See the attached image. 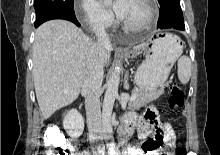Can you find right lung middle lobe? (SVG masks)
<instances>
[{
    "mask_svg": "<svg viewBox=\"0 0 220 155\" xmlns=\"http://www.w3.org/2000/svg\"><path fill=\"white\" fill-rule=\"evenodd\" d=\"M36 19L53 12L74 13L73 0H34Z\"/></svg>",
    "mask_w": 220,
    "mask_h": 155,
    "instance_id": "right-lung-middle-lobe-1",
    "label": "right lung middle lobe"
}]
</instances>
